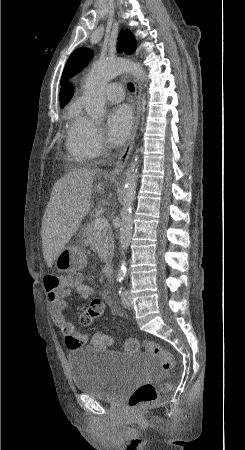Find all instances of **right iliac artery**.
Masks as SVG:
<instances>
[{
    "label": "right iliac artery",
    "instance_id": "82829eb1",
    "mask_svg": "<svg viewBox=\"0 0 245 450\" xmlns=\"http://www.w3.org/2000/svg\"><path fill=\"white\" fill-rule=\"evenodd\" d=\"M123 279H124L123 275H118V276H117V281H118V282H122Z\"/></svg>",
    "mask_w": 245,
    "mask_h": 450
}]
</instances>
